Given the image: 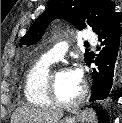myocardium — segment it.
<instances>
[{
  "label": "myocardium",
  "mask_w": 122,
  "mask_h": 123,
  "mask_svg": "<svg viewBox=\"0 0 122 123\" xmlns=\"http://www.w3.org/2000/svg\"><path fill=\"white\" fill-rule=\"evenodd\" d=\"M59 69H68L67 67H60L54 70H51L48 74V79H47V96L49 98V100L51 101L52 104L60 106V107H72L77 105L78 103H80L83 98L86 95V91H87V86L86 83H82V87L80 92L78 93V95L73 98L72 100L69 101H64L61 100L56 93V72Z\"/></svg>",
  "instance_id": "myocardium-1"
}]
</instances>
